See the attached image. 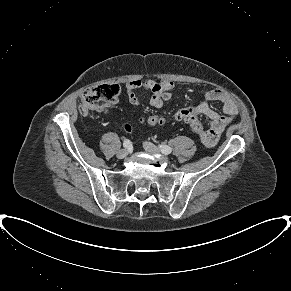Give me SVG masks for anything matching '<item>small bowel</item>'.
Instances as JSON below:
<instances>
[{"label": "small bowel", "mask_w": 291, "mask_h": 291, "mask_svg": "<svg viewBox=\"0 0 291 291\" xmlns=\"http://www.w3.org/2000/svg\"><path fill=\"white\" fill-rule=\"evenodd\" d=\"M173 82L169 80H133L126 86L128 101L132 106L138 107L141 101L136 95L137 89H146L152 93L149 104L154 108H161L164 102L172 97ZM205 98L219 102L222 105V114L214 111L207 103H201L191 107L194 113L204 115L210 120V128L200 136L202 143L213 146L221 133L226 129L232 118L237 115L238 109L235 103L221 90L212 89L205 92Z\"/></svg>", "instance_id": "obj_1"}]
</instances>
